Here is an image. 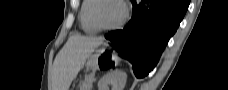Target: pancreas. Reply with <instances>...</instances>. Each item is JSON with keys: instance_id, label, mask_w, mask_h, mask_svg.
I'll use <instances>...</instances> for the list:
<instances>
[{"instance_id": "obj_1", "label": "pancreas", "mask_w": 228, "mask_h": 90, "mask_svg": "<svg viewBox=\"0 0 228 90\" xmlns=\"http://www.w3.org/2000/svg\"><path fill=\"white\" fill-rule=\"evenodd\" d=\"M94 79L95 78L93 74H90L89 76H87L84 82L82 83L80 90H91Z\"/></svg>"}]
</instances>
